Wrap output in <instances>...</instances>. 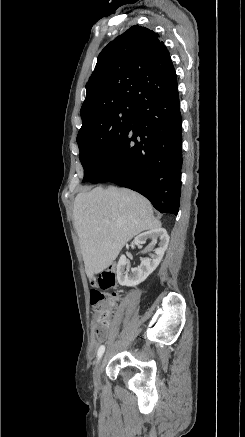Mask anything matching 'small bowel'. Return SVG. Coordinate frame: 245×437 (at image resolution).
<instances>
[{"instance_id":"obj_1","label":"small bowel","mask_w":245,"mask_h":437,"mask_svg":"<svg viewBox=\"0 0 245 437\" xmlns=\"http://www.w3.org/2000/svg\"><path fill=\"white\" fill-rule=\"evenodd\" d=\"M107 335H108V333H107L104 337H102V338H95V337L93 336V339H92V346H93V347H96V346L99 344V342H100L101 340H103L104 338L107 337Z\"/></svg>"}]
</instances>
